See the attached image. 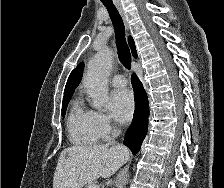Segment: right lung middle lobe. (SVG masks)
<instances>
[{
  "label": "right lung middle lobe",
  "mask_w": 224,
  "mask_h": 188,
  "mask_svg": "<svg viewBox=\"0 0 224 188\" xmlns=\"http://www.w3.org/2000/svg\"><path fill=\"white\" fill-rule=\"evenodd\" d=\"M70 100V99H69ZM69 100H66L62 103V116L64 117L65 116V112H66V109H67V105H68V102Z\"/></svg>",
  "instance_id": "dd1d6c3e"
}]
</instances>
